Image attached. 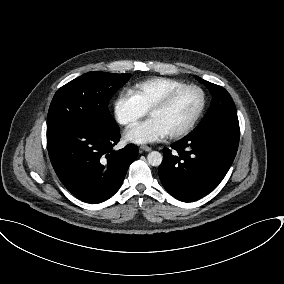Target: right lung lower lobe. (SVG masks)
<instances>
[{
	"label": "right lung lower lobe",
	"instance_id": "98d812e1",
	"mask_svg": "<svg viewBox=\"0 0 284 284\" xmlns=\"http://www.w3.org/2000/svg\"><path fill=\"white\" fill-rule=\"evenodd\" d=\"M119 127L114 131L75 128L47 137L52 166L64 186L87 203H101L122 185L136 159L135 145L115 151Z\"/></svg>",
	"mask_w": 284,
	"mask_h": 284
}]
</instances>
